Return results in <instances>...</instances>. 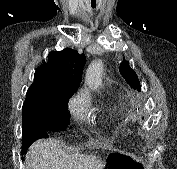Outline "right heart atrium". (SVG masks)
I'll return each instance as SVG.
<instances>
[{"instance_id":"obj_1","label":"right heart atrium","mask_w":177,"mask_h":169,"mask_svg":"<svg viewBox=\"0 0 177 169\" xmlns=\"http://www.w3.org/2000/svg\"><path fill=\"white\" fill-rule=\"evenodd\" d=\"M68 107L74 119L80 122L88 115L90 101L84 92H78L70 99Z\"/></svg>"}]
</instances>
